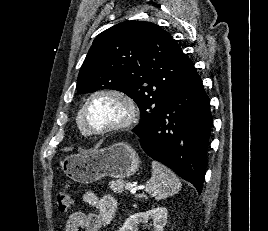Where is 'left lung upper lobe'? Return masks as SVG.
Masks as SVG:
<instances>
[{
	"instance_id": "5c2ea615",
	"label": "left lung upper lobe",
	"mask_w": 268,
	"mask_h": 231,
	"mask_svg": "<svg viewBox=\"0 0 268 231\" xmlns=\"http://www.w3.org/2000/svg\"><path fill=\"white\" fill-rule=\"evenodd\" d=\"M172 36L145 21H125L93 41L77 79L78 93L103 89L124 92L137 103L140 123L148 131L159 118L173 89L194 71Z\"/></svg>"
}]
</instances>
